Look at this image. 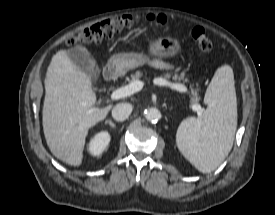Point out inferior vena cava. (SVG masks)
<instances>
[{"instance_id": "1", "label": "inferior vena cava", "mask_w": 275, "mask_h": 215, "mask_svg": "<svg viewBox=\"0 0 275 215\" xmlns=\"http://www.w3.org/2000/svg\"><path fill=\"white\" fill-rule=\"evenodd\" d=\"M132 105L129 103H119L112 109V117L116 121L126 120L132 112Z\"/></svg>"}]
</instances>
